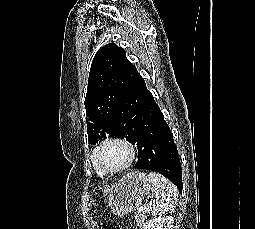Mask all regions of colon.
<instances>
[{
    "label": "colon",
    "instance_id": "5ec220e1",
    "mask_svg": "<svg viewBox=\"0 0 255 229\" xmlns=\"http://www.w3.org/2000/svg\"><path fill=\"white\" fill-rule=\"evenodd\" d=\"M103 229H120L119 225L115 221H107L103 225Z\"/></svg>",
    "mask_w": 255,
    "mask_h": 229
}]
</instances>
